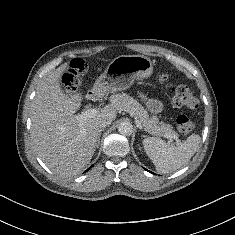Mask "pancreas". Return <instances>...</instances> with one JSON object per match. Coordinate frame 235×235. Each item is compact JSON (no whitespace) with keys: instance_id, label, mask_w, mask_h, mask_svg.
<instances>
[{"instance_id":"pancreas-1","label":"pancreas","mask_w":235,"mask_h":235,"mask_svg":"<svg viewBox=\"0 0 235 235\" xmlns=\"http://www.w3.org/2000/svg\"><path fill=\"white\" fill-rule=\"evenodd\" d=\"M110 101L117 110L125 111L135 116L148 133L162 137H178V134L170 124L160 122L157 116L150 117L147 110L131 96L125 93L114 94L110 97Z\"/></svg>"}]
</instances>
